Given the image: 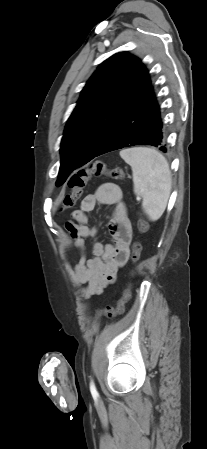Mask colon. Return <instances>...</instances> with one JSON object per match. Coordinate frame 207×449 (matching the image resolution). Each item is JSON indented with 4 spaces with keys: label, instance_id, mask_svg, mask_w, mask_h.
<instances>
[{
    "label": "colon",
    "instance_id": "colon-1",
    "mask_svg": "<svg viewBox=\"0 0 207 449\" xmlns=\"http://www.w3.org/2000/svg\"><path fill=\"white\" fill-rule=\"evenodd\" d=\"M107 176L113 180L123 181L125 179L124 172L121 168H108L103 161H95L85 168L74 173L68 182L70 191L63 196L62 208L69 209L75 206L81 197L84 187L92 177ZM141 228L145 229L144 223L140 220ZM142 252V246L139 242H135L132 246L131 260L135 264L139 261ZM131 285H128L119 299L116 306H106L97 312V317L114 318L121 315L125 310V305L131 298Z\"/></svg>",
    "mask_w": 207,
    "mask_h": 449
}]
</instances>
